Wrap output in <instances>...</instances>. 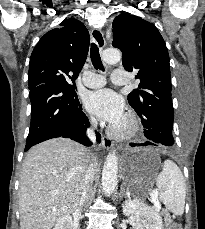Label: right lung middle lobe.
<instances>
[{"mask_svg": "<svg viewBox=\"0 0 205 229\" xmlns=\"http://www.w3.org/2000/svg\"><path fill=\"white\" fill-rule=\"evenodd\" d=\"M55 82L72 88L75 85V82L67 77H58L55 79Z\"/></svg>", "mask_w": 205, "mask_h": 229, "instance_id": "obj_1", "label": "right lung middle lobe"}]
</instances>
